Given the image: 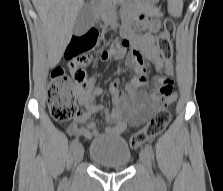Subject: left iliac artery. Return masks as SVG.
I'll use <instances>...</instances> for the list:
<instances>
[{"instance_id": "44dca946", "label": "left iliac artery", "mask_w": 223, "mask_h": 191, "mask_svg": "<svg viewBox=\"0 0 223 191\" xmlns=\"http://www.w3.org/2000/svg\"><path fill=\"white\" fill-rule=\"evenodd\" d=\"M145 150L148 152V154H149V156L150 157H154V151H153V148H152V146L151 145H149V144H146L145 145ZM158 180H159V183H160V185H164V182H163V179H162V177L161 176H158Z\"/></svg>"}]
</instances>
